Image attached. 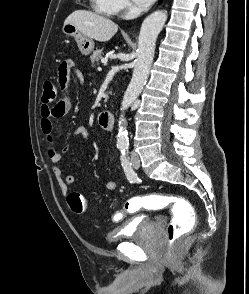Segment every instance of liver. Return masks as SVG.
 <instances>
[{"label":"liver","mask_w":249,"mask_h":294,"mask_svg":"<svg viewBox=\"0 0 249 294\" xmlns=\"http://www.w3.org/2000/svg\"><path fill=\"white\" fill-rule=\"evenodd\" d=\"M71 23L85 36L99 42L110 40L118 31V25L97 13L76 10L70 14L64 24Z\"/></svg>","instance_id":"obj_1"}]
</instances>
